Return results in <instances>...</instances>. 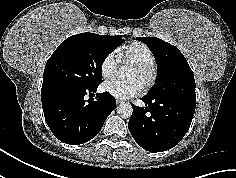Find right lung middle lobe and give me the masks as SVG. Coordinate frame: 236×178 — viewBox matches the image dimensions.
Returning <instances> with one entry per match:
<instances>
[{
    "label": "right lung middle lobe",
    "mask_w": 236,
    "mask_h": 178,
    "mask_svg": "<svg viewBox=\"0 0 236 178\" xmlns=\"http://www.w3.org/2000/svg\"><path fill=\"white\" fill-rule=\"evenodd\" d=\"M124 40L118 36L81 33L68 37L48 59L44 85L96 88L102 82V64Z\"/></svg>",
    "instance_id": "dd1d6c3e"
}]
</instances>
